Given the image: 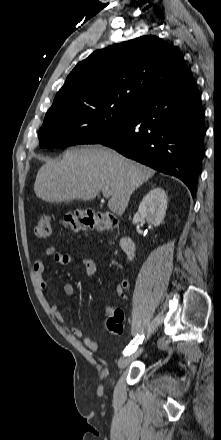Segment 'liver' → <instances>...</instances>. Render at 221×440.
I'll use <instances>...</instances> for the list:
<instances>
[{
	"label": "liver",
	"instance_id": "1",
	"mask_svg": "<svg viewBox=\"0 0 221 440\" xmlns=\"http://www.w3.org/2000/svg\"><path fill=\"white\" fill-rule=\"evenodd\" d=\"M154 173L100 145L73 148L65 151L60 161L46 160L37 173L34 192L51 203L90 201L107 192L111 196L109 209L122 215L133 191Z\"/></svg>",
	"mask_w": 221,
	"mask_h": 440
}]
</instances>
